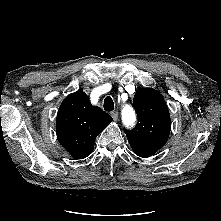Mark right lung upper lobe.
<instances>
[{
    "mask_svg": "<svg viewBox=\"0 0 221 221\" xmlns=\"http://www.w3.org/2000/svg\"><path fill=\"white\" fill-rule=\"evenodd\" d=\"M112 120L101 108L90 104L85 92L77 91L68 95L58 110V140L73 158H86L94 149L97 135Z\"/></svg>",
    "mask_w": 221,
    "mask_h": 221,
    "instance_id": "cb5924a9",
    "label": "right lung upper lobe"
}]
</instances>
